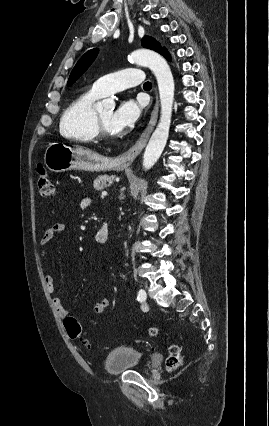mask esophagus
Wrapping results in <instances>:
<instances>
[{"mask_svg": "<svg viewBox=\"0 0 269 426\" xmlns=\"http://www.w3.org/2000/svg\"><path fill=\"white\" fill-rule=\"evenodd\" d=\"M158 111H159V102H158V96L156 93V102L155 106L153 108L150 121L148 123V126L146 127L145 131L143 132L140 139L137 141V143L132 146L129 150L119 155L118 159L121 164L130 165L135 160V158L141 153L143 148L145 147L158 118Z\"/></svg>", "mask_w": 269, "mask_h": 426, "instance_id": "34e87169", "label": "esophagus"}]
</instances>
